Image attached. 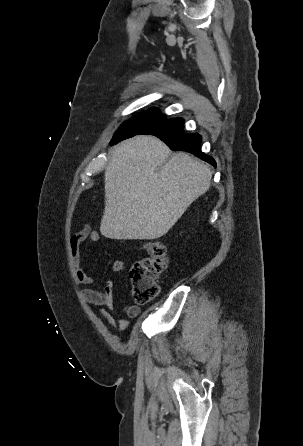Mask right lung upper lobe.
I'll return each instance as SVG.
<instances>
[{
	"label": "right lung upper lobe",
	"mask_w": 303,
	"mask_h": 446,
	"mask_svg": "<svg viewBox=\"0 0 303 446\" xmlns=\"http://www.w3.org/2000/svg\"><path fill=\"white\" fill-rule=\"evenodd\" d=\"M150 110H159V108H152V109H150Z\"/></svg>",
	"instance_id": "cb5924a9"
}]
</instances>
